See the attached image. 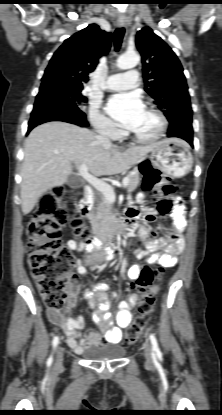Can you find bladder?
<instances>
[{
    "label": "bladder",
    "instance_id": "31cf9c89",
    "mask_svg": "<svg viewBox=\"0 0 222 415\" xmlns=\"http://www.w3.org/2000/svg\"><path fill=\"white\" fill-rule=\"evenodd\" d=\"M127 350L118 345H102L87 348L83 356L89 360L118 359L125 356Z\"/></svg>",
    "mask_w": 222,
    "mask_h": 415
}]
</instances>
